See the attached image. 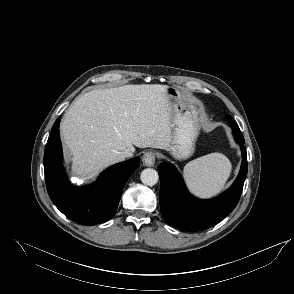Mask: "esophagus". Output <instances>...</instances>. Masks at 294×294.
Masks as SVG:
<instances>
[{
  "label": "esophagus",
  "mask_w": 294,
  "mask_h": 294,
  "mask_svg": "<svg viewBox=\"0 0 294 294\" xmlns=\"http://www.w3.org/2000/svg\"><path fill=\"white\" fill-rule=\"evenodd\" d=\"M143 164L151 167L155 163V153L153 151L146 152L142 157Z\"/></svg>",
  "instance_id": "esophagus-1"
}]
</instances>
